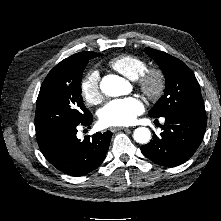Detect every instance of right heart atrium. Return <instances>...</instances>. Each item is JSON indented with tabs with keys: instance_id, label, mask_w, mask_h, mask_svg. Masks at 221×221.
Returning <instances> with one entry per match:
<instances>
[{
	"instance_id": "right-heart-atrium-1",
	"label": "right heart atrium",
	"mask_w": 221,
	"mask_h": 221,
	"mask_svg": "<svg viewBox=\"0 0 221 221\" xmlns=\"http://www.w3.org/2000/svg\"><path fill=\"white\" fill-rule=\"evenodd\" d=\"M80 92L90 105L99 104L103 99V93L100 87V76L98 71L90 70L82 79L80 84Z\"/></svg>"
}]
</instances>
